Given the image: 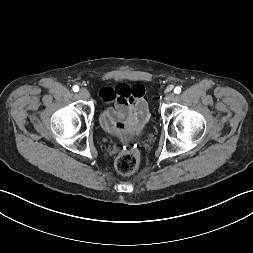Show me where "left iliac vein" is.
Here are the masks:
<instances>
[{
  "instance_id": "1",
  "label": "left iliac vein",
  "mask_w": 253,
  "mask_h": 253,
  "mask_svg": "<svg viewBox=\"0 0 253 253\" xmlns=\"http://www.w3.org/2000/svg\"><path fill=\"white\" fill-rule=\"evenodd\" d=\"M174 99V94L173 93H167L164 97L165 102L169 103Z\"/></svg>"
}]
</instances>
